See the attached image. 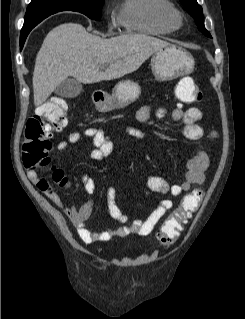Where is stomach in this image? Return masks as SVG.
I'll list each match as a JSON object with an SVG mask.
<instances>
[{
  "instance_id": "0dacf381",
  "label": "stomach",
  "mask_w": 245,
  "mask_h": 319,
  "mask_svg": "<svg viewBox=\"0 0 245 319\" xmlns=\"http://www.w3.org/2000/svg\"><path fill=\"white\" fill-rule=\"evenodd\" d=\"M194 58L181 47L168 45L156 51L151 58V69L159 81H167L192 72ZM138 83L131 80L120 81L112 95H105L95 102L100 112H109L133 103L140 95Z\"/></svg>"
}]
</instances>
